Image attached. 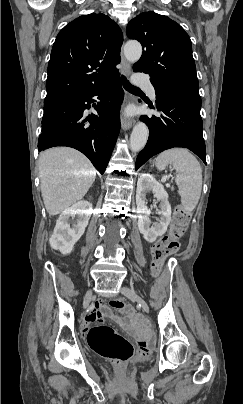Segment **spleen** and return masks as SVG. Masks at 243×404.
I'll return each instance as SVG.
<instances>
[{
  "mask_svg": "<svg viewBox=\"0 0 243 404\" xmlns=\"http://www.w3.org/2000/svg\"><path fill=\"white\" fill-rule=\"evenodd\" d=\"M172 164L176 170L175 182L181 196V204L186 214H191L196 208L202 190L201 166L186 148H172L159 154L155 166L157 170H165L166 166Z\"/></svg>",
  "mask_w": 243,
  "mask_h": 404,
  "instance_id": "1",
  "label": "spleen"
}]
</instances>
